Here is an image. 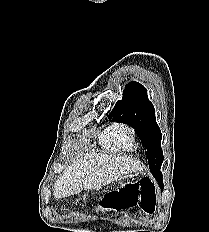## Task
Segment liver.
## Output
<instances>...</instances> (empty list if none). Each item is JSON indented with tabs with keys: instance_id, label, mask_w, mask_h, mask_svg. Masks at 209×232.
Instances as JSON below:
<instances>
[{
	"instance_id": "6515ba94",
	"label": "liver",
	"mask_w": 209,
	"mask_h": 232,
	"mask_svg": "<svg viewBox=\"0 0 209 232\" xmlns=\"http://www.w3.org/2000/svg\"><path fill=\"white\" fill-rule=\"evenodd\" d=\"M143 168L134 159L102 153H87L77 159L58 178L54 185L56 199L69 197L84 190H98L124 175L141 171Z\"/></svg>"
}]
</instances>
